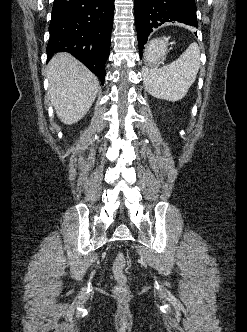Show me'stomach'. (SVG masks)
<instances>
[{
	"mask_svg": "<svg viewBox=\"0 0 247 332\" xmlns=\"http://www.w3.org/2000/svg\"><path fill=\"white\" fill-rule=\"evenodd\" d=\"M167 54V41L165 39L152 40L145 51V63L152 67L163 61Z\"/></svg>",
	"mask_w": 247,
	"mask_h": 332,
	"instance_id": "0dacf381",
	"label": "stomach"
}]
</instances>
